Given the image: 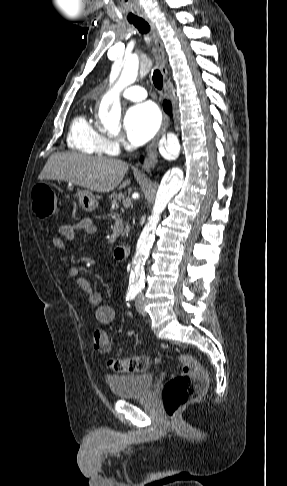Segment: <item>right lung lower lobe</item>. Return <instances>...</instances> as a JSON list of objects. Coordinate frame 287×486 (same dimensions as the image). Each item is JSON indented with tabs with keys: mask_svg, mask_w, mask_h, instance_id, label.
I'll return each instance as SVG.
<instances>
[{
	"mask_svg": "<svg viewBox=\"0 0 287 486\" xmlns=\"http://www.w3.org/2000/svg\"><path fill=\"white\" fill-rule=\"evenodd\" d=\"M164 110L169 114L171 113L170 103L168 101H164Z\"/></svg>",
	"mask_w": 287,
	"mask_h": 486,
	"instance_id": "obj_1",
	"label": "right lung lower lobe"
}]
</instances>
